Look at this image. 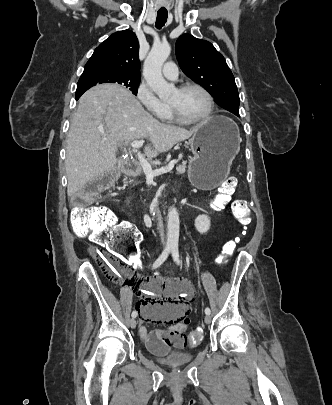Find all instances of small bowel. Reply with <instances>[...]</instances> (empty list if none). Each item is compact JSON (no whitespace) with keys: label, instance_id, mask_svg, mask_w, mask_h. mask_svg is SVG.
I'll return each mask as SVG.
<instances>
[{"label":"small bowel","instance_id":"1","mask_svg":"<svg viewBox=\"0 0 332 405\" xmlns=\"http://www.w3.org/2000/svg\"><path fill=\"white\" fill-rule=\"evenodd\" d=\"M134 281L132 273L127 272L126 284ZM192 290L183 280H154L140 283V300L138 310L143 324L140 326V337L147 349L156 353H184L187 340L182 338L189 325H183L181 318L195 305V298L190 297ZM145 322H163L167 330L149 331Z\"/></svg>","mask_w":332,"mask_h":405}]
</instances>
